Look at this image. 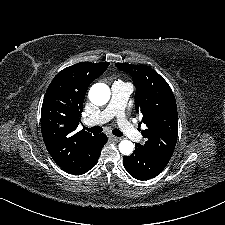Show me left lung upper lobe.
Instances as JSON below:
<instances>
[{"label": "left lung upper lobe", "instance_id": "obj_1", "mask_svg": "<svg viewBox=\"0 0 225 225\" xmlns=\"http://www.w3.org/2000/svg\"><path fill=\"white\" fill-rule=\"evenodd\" d=\"M131 74L136 85V110L143 115L142 130L147 139L143 146L157 155L171 158L178 136V114L174 94L168 83L146 65L116 63Z\"/></svg>", "mask_w": 225, "mask_h": 225}]
</instances>
